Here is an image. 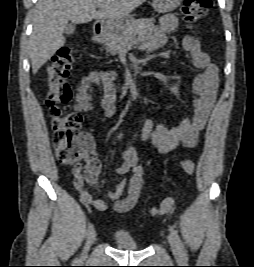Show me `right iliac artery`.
Returning a JSON list of instances; mask_svg holds the SVG:
<instances>
[{
	"instance_id": "1",
	"label": "right iliac artery",
	"mask_w": 254,
	"mask_h": 267,
	"mask_svg": "<svg viewBox=\"0 0 254 267\" xmlns=\"http://www.w3.org/2000/svg\"><path fill=\"white\" fill-rule=\"evenodd\" d=\"M93 228H94L93 224H90V225L88 226L87 230H86L85 235H89V233L93 230ZM77 261H78V260L76 259V262H77Z\"/></svg>"
}]
</instances>
